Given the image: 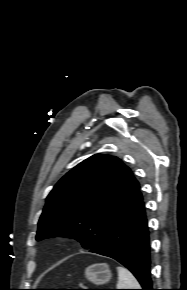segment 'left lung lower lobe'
<instances>
[{
	"instance_id": "1",
	"label": "left lung lower lobe",
	"mask_w": 187,
	"mask_h": 290,
	"mask_svg": "<svg viewBox=\"0 0 187 290\" xmlns=\"http://www.w3.org/2000/svg\"><path fill=\"white\" fill-rule=\"evenodd\" d=\"M90 252L117 260L134 274L142 290H154L150 273L149 231L139 191L107 236Z\"/></svg>"
}]
</instances>
